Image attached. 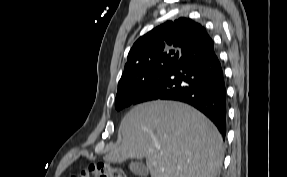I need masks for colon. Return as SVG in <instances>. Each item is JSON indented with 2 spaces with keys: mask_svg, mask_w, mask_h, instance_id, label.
<instances>
[{
  "mask_svg": "<svg viewBox=\"0 0 287 177\" xmlns=\"http://www.w3.org/2000/svg\"><path fill=\"white\" fill-rule=\"evenodd\" d=\"M72 177H126V175L120 168L111 164L96 163L77 171Z\"/></svg>",
  "mask_w": 287,
  "mask_h": 177,
  "instance_id": "colon-1",
  "label": "colon"
}]
</instances>
